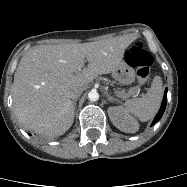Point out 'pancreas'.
<instances>
[{
    "mask_svg": "<svg viewBox=\"0 0 187 187\" xmlns=\"http://www.w3.org/2000/svg\"><path fill=\"white\" fill-rule=\"evenodd\" d=\"M138 93V88L135 87V88H132L131 91H130V94H137ZM120 95L125 98L127 96H129V94H125L124 92H120Z\"/></svg>",
    "mask_w": 187,
    "mask_h": 187,
    "instance_id": "cf45deb5",
    "label": "pancreas"
}]
</instances>
